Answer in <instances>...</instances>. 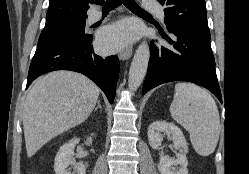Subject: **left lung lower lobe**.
<instances>
[{
    "label": "left lung lower lobe",
    "mask_w": 249,
    "mask_h": 174,
    "mask_svg": "<svg viewBox=\"0 0 249 174\" xmlns=\"http://www.w3.org/2000/svg\"><path fill=\"white\" fill-rule=\"evenodd\" d=\"M174 40L160 34L172 48L150 44L151 57L142 93L167 82L188 81L210 90L222 102L210 44V32L184 29L169 30Z\"/></svg>",
    "instance_id": "1"
}]
</instances>
